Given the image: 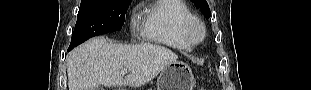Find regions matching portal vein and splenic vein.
<instances>
[{
  "instance_id": "portal-vein-and-splenic-vein-1",
  "label": "portal vein and splenic vein",
  "mask_w": 311,
  "mask_h": 90,
  "mask_svg": "<svg viewBox=\"0 0 311 90\" xmlns=\"http://www.w3.org/2000/svg\"><path fill=\"white\" fill-rule=\"evenodd\" d=\"M127 72H128L127 69H122V70H121V73H122V74H126Z\"/></svg>"
}]
</instances>
